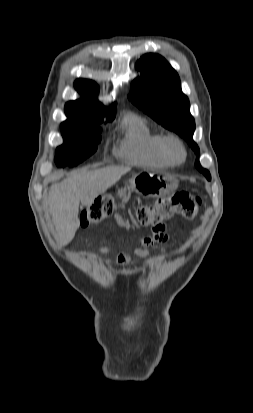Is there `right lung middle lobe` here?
<instances>
[{
  "mask_svg": "<svg viewBox=\"0 0 253 413\" xmlns=\"http://www.w3.org/2000/svg\"><path fill=\"white\" fill-rule=\"evenodd\" d=\"M113 120L112 118L108 119ZM103 120H67L61 124L63 145L56 150L55 162L58 167L75 166L92 155L101 141Z\"/></svg>",
  "mask_w": 253,
  "mask_h": 413,
  "instance_id": "1",
  "label": "right lung middle lobe"
}]
</instances>
